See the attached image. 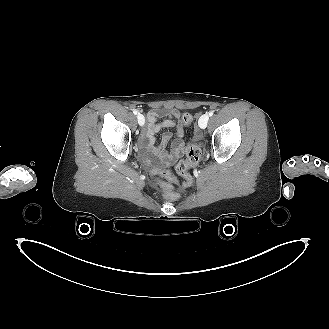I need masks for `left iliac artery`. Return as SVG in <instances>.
<instances>
[{
  "instance_id": "left-iliac-artery-1",
  "label": "left iliac artery",
  "mask_w": 329,
  "mask_h": 329,
  "mask_svg": "<svg viewBox=\"0 0 329 329\" xmlns=\"http://www.w3.org/2000/svg\"><path fill=\"white\" fill-rule=\"evenodd\" d=\"M214 114V111L209 112V116H212Z\"/></svg>"
}]
</instances>
